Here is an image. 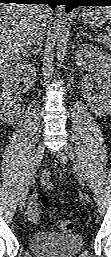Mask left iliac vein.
Wrapping results in <instances>:
<instances>
[{
    "mask_svg": "<svg viewBox=\"0 0 111 257\" xmlns=\"http://www.w3.org/2000/svg\"><path fill=\"white\" fill-rule=\"evenodd\" d=\"M62 152L65 153L73 162V169L74 172L76 173L77 179L79 181V183L84 186L85 185V178L83 175V170L81 165L79 164V162L77 161L74 151L72 149V147H70L69 145H65L64 148L62 149Z\"/></svg>",
    "mask_w": 111,
    "mask_h": 257,
    "instance_id": "obj_1",
    "label": "left iliac vein"
}]
</instances>
